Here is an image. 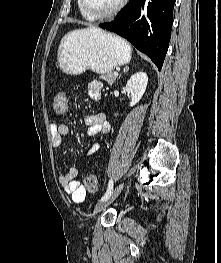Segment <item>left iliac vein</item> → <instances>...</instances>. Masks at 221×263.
<instances>
[{
  "mask_svg": "<svg viewBox=\"0 0 221 263\" xmlns=\"http://www.w3.org/2000/svg\"><path fill=\"white\" fill-rule=\"evenodd\" d=\"M123 186H124V181L120 182L117 185V187L113 190V192L111 193V195L107 199L98 203L94 208V214L99 213L104 208H106L110 203H112L116 199V197L120 194Z\"/></svg>",
  "mask_w": 221,
  "mask_h": 263,
  "instance_id": "obj_1",
  "label": "left iliac vein"
}]
</instances>
